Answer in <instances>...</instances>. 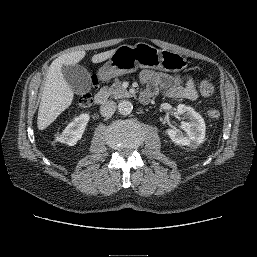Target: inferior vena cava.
<instances>
[{
	"instance_id": "obj_1",
	"label": "inferior vena cava",
	"mask_w": 257,
	"mask_h": 257,
	"mask_svg": "<svg viewBox=\"0 0 257 257\" xmlns=\"http://www.w3.org/2000/svg\"><path fill=\"white\" fill-rule=\"evenodd\" d=\"M117 105L114 101H107L100 107V113L103 117H111L116 111Z\"/></svg>"
}]
</instances>
